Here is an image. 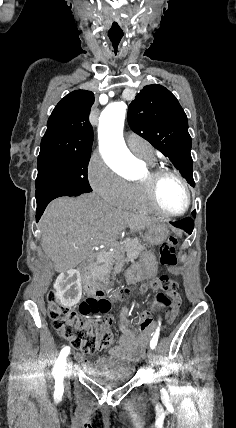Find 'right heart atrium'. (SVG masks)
<instances>
[{
	"mask_svg": "<svg viewBox=\"0 0 236 428\" xmlns=\"http://www.w3.org/2000/svg\"><path fill=\"white\" fill-rule=\"evenodd\" d=\"M88 181L100 200H106V206H123L129 193V184L99 156L89 162Z\"/></svg>",
	"mask_w": 236,
	"mask_h": 428,
	"instance_id": "1",
	"label": "right heart atrium"
}]
</instances>
